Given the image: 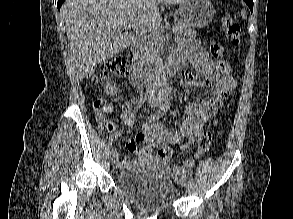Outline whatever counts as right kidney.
<instances>
[{"instance_id": "1", "label": "right kidney", "mask_w": 293, "mask_h": 219, "mask_svg": "<svg viewBox=\"0 0 293 219\" xmlns=\"http://www.w3.org/2000/svg\"><path fill=\"white\" fill-rule=\"evenodd\" d=\"M104 89H105V92L109 95V94H114L116 93L117 91V87H116V84L114 82H109V81H106V84L104 85Z\"/></svg>"}]
</instances>
